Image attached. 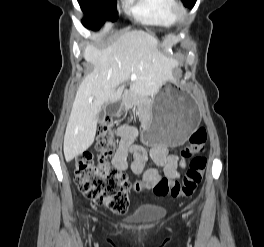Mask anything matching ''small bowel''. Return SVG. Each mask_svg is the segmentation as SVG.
I'll return each instance as SVG.
<instances>
[{
    "label": "small bowel",
    "mask_w": 264,
    "mask_h": 247,
    "mask_svg": "<svg viewBox=\"0 0 264 247\" xmlns=\"http://www.w3.org/2000/svg\"><path fill=\"white\" fill-rule=\"evenodd\" d=\"M119 137L118 149L112 159L114 168L123 171L128 168L127 158L132 155L133 162L130 166L134 174H143L144 189H150L159 181V175L155 169H146L148 160L147 151L140 145L136 144L138 132L134 127L122 126L117 130ZM150 155L153 160L164 167L166 176L175 180L180 177L178 167L184 168L185 162L179 161L178 157L174 154H169L167 148L163 146H154L150 150Z\"/></svg>",
    "instance_id": "c3829d8e"
}]
</instances>
